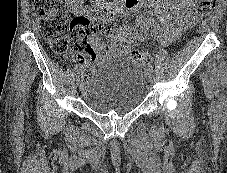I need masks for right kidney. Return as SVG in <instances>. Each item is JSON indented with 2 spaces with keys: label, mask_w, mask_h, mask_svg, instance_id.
<instances>
[{
  "label": "right kidney",
  "mask_w": 227,
  "mask_h": 173,
  "mask_svg": "<svg viewBox=\"0 0 227 173\" xmlns=\"http://www.w3.org/2000/svg\"><path fill=\"white\" fill-rule=\"evenodd\" d=\"M68 9L72 12H79V10H82V0H66Z\"/></svg>",
  "instance_id": "right-kidney-1"
}]
</instances>
